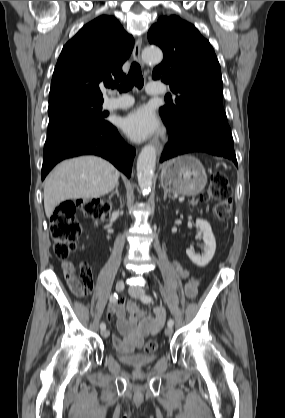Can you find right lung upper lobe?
Here are the masks:
<instances>
[{
  "label": "right lung upper lobe",
  "instance_id": "1",
  "mask_svg": "<svg viewBox=\"0 0 285 418\" xmlns=\"http://www.w3.org/2000/svg\"><path fill=\"white\" fill-rule=\"evenodd\" d=\"M133 46V37L112 16H99L83 26L59 56L49 106L68 101L103 102L99 84L125 77L122 65Z\"/></svg>",
  "mask_w": 285,
  "mask_h": 418
}]
</instances>
